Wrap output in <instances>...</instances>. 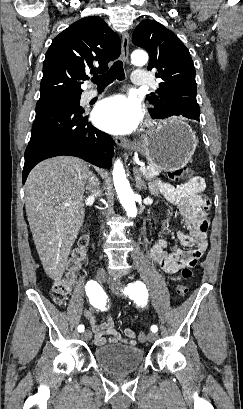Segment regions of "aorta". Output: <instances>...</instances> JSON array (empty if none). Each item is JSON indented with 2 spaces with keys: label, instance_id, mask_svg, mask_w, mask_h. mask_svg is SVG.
Wrapping results in <instances>:
<instances>
[{
  "label": "aorta",
  "instance_id": "1",
  "mask_svg": "<svg viewBox=\"0 0 243 409\" xmlns=\"http://www.w3.org/2000/svg\"><path fill=\"white\" fill-rule=\"evenodd\" d=\"M131 58H132V62L138 66L144 65L148 61V55L147 53L143 51L133 52ZM113 182H114V187L116 189L120 203L125 209L126 214L129 217H135L138 212L136 203H135V195L126 178L125 170L120 160H117L114 163Z\"/></svg>",
  "mask_w": 243,
  "mask_h": 409
}]
</instances>
